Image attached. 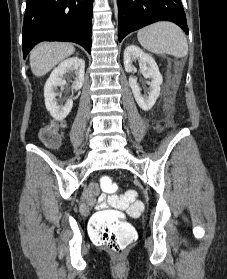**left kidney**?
<instances>
[{"label":"left kidney","mask_w":227,"mask_h":279,"mask_svg":"<svg viewBox=\"0 0 227 279\" xmlns=\"http://www.w3.org/2000/svg\"><path fill=\"white\" fill-rule=\"evenodd\" d=\"M134 60L139 61L142 75L145 78L151 79L148 96H143L141 94V88L139 87L136 78L130 76L129 85L139 107L144 111H148L154 106L159 97L163 78L155 60L149 54L144 53L135 45H129L124 50V67L126 72H132L134 70L132 64Z\"/></svg>","instance_id":"1"}]
</instances>
